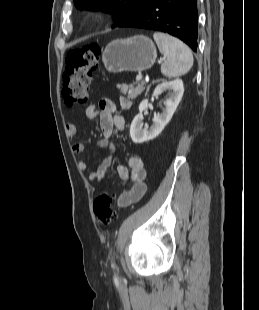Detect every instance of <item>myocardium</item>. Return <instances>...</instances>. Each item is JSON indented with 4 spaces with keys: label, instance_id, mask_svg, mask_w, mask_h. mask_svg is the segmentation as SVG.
I'll use <instances>...</instances> for the list:
<instances>
[{
    "label": "myocardium",
    "instance_id": "1",
    "mask_svg": "<svg viewBox=\"0 0 259 310\" xmlns=\"http://www.w3.org/2000/svg\"><path fill=\"white\" fill-rule=\"evenodd\" d=\"M94 22V18H90L89 23H93Z\"/></svg>",
    "mask_w": 259,
    "mask_h": 310
}]
</instances>
